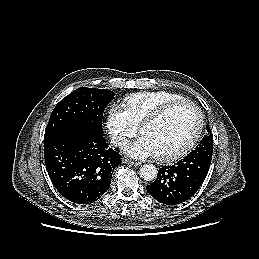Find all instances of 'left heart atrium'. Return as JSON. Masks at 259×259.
Returning a JSON list of instances; mask_svg holds the SVG:
<instances>
[{
	"label": "left heart atrium",
	"instance_id": "obj_1",
	"mask_svg": "<svg viewBox=\"0 0 259 259\" xmlns=\"http://www.w3.org/2000/svg\"><path fill=\"white\" fill-rule=\"evenodd\" d=\"M124 151L134 158H147L150 156H156L151 142L143 135L133 142L126 144L124 146Z\"/></svg>",
	"mask_w": 259,
	"mask_h": 259
}]
</instances>
